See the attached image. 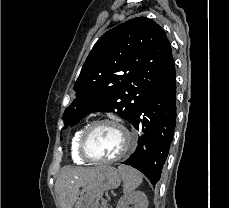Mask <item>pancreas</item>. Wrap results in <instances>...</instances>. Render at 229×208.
Masks as SVG:
<instances>
[{
	"label": "pancreas",
	"instance_id": "1",
	"mask_svg": "<svg viewBox=\"0 0 229 208\" xmlns=\"http://www.w3.org/2000/svg\"><path fill=\"white\" fill-rule=\"evenodd\" d=\"M101 204H102L101 208H108L107 200H103Z\"/></svg>",
	"mask_w": 229,
	"mask_h": 208
}]
</instances>
